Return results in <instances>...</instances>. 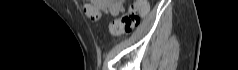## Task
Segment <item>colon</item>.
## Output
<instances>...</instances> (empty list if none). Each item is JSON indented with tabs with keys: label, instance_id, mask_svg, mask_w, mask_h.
<instances>
[{
	"label": "colon",
	"instance_id": "colon-1",
	"mask_svg": "<svg viewBox=\"0 0 238 70\" xmlns=\"http://www.w3.org/2000/svg\"><path fill=\"white\" fill-rule=\"evenodd\" d=\"M148 12L146 0H137L133 2L128 13L120 19L114 21L111 25L113 34H122L131 32L140 22V14L145 15ZM91 16L96 17L95 11H91Z\"/></svg>",
	"mask_w": 238,
	"mask_h": 70
}]
</instances>
